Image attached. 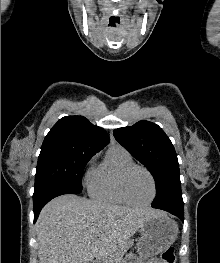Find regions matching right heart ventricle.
Returning a JSON list of instances; mask_svg holds the SVG:
<instances>
[{"label":"right heart ventricle","instance_id":"e07e8e85","mask_svg":"<svg viewBox=\"0 0 220 263\" xmlns=\"http://www.w3.org/2000/svg\"><path fill=\"white\" fill-rule=\"evenodd\" d=\"M134 164L131 155L121 147H111L103 161L88 177L90 196L100 202L114 205L129 204L120 191V177L128 166Z\"/></svg>","mask_w":220,"mask_h":263}]
</instances>
